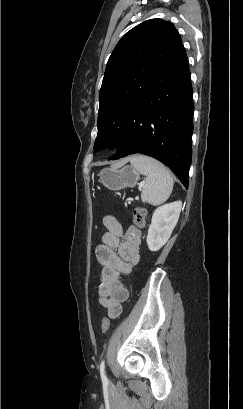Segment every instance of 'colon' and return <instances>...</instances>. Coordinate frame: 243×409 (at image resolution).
Wrapping results in <instances>:
<instances>
[{"label": "colon", "instance_id": "5ec220e1", "mask_svg": "<svg viewBox=\"0 0 243 409\" xmlns=\"http://www.w3.org/2000/svg\"><path fill=\"white\" fill-rule=\"evenodd\" d=\"M146 209L143 207H138L134 210L135 224L138 226H143L145 224ZM111 326V321L108 317L103 318L101 321L100 329L103 334L108 333Z\"/></svg>", "mask_w": 243, "mask_h": 409}]
</instances>
